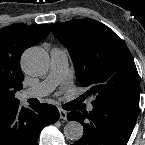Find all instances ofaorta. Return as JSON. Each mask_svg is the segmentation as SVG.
Returning <instances> with one entry per match:
<instances>
[{
    "label": "aorta",
    "instance_id": "762f6f07",
    "mask_svg": "<svg viewBox=\"0 0 145 145\" xmlns=\"http://www.w3.org/2000/svg\"><path fill=\"white\" fill-rule=\"evenodd\" d=\"M47 53L38 47L27 49L21 59L24 71L32 76H39L46 72L49 67ZM84 133L83 126L77 121H70L64 127V135L71 141L79 140Z\"/></svg>",
    "mask_w": 145,
    "mask_h": 145
}]
</instances>
